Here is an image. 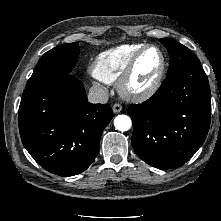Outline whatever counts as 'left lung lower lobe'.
I'll return each mask as SVG.
<instances>
[{
  "mask_svg": "<svg viewBox=\"0 0 221 221\" xmlns=\"http://www.w3.org/2000/svg\"><path fill=\"white\" fill-rule=\"evenodd\" d=\"M127 111L136 154L155 168L182 166L201 147L209 130L208 78L201 65L185 67L166 77L150 99Z\"/></svg>",
  "mask_w": 221,
  "mask_h": 221,
  "instance_id": "0a47b994",
  "label": "left lung lower lobe"
}]
</instances>
